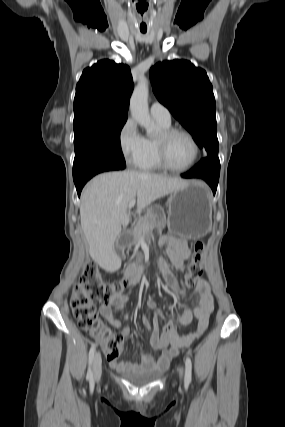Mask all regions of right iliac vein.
<instances>
[{
    "label": "right iliac vein",
    "mask_w": 285,
    "mask_h": 427,
    "mask_svg": "<svg viewBox=\"0 0 285 427\" xmlns=\"http://www.w3.org/2000/svg\"><path fill=\"white\" fill-rule=\"evenodd\" d=\"M102 373V359L101 354L98 352L96 353L94 360H93V374L94 379L98 380Z\"/></svg>",
    "instance_id": "63e3f726"
}]
</instances>
